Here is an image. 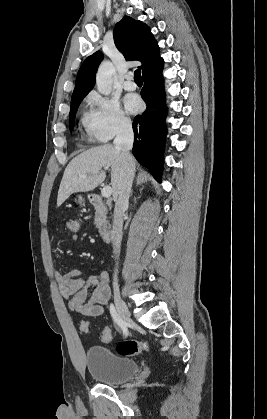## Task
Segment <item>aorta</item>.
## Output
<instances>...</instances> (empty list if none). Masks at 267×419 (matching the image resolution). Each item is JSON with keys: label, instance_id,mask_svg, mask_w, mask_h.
Wrapping results in <instances>:
<instances>
[{"label": "aorta", "instance_id": "aorta-1", "mask_svg": "<svg viewBox=\"0 0 267 419\" xmlns=\"http://www.w3.org/2000/svg\"><path fill=\"white\" fill-rule=\"evenodd\" d=\"M115 68L110 61H103L97 71L96 85L103 95H109L112 90L113 75Z\"/></svg>", "mask_w": 267, "mask_h": 419}]
</instances>
